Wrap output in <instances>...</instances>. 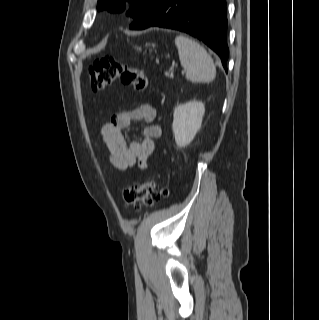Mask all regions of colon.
<instances>
[{
	"label": "colon",
	"mask_w": 319,
	"mask_h": 320,
	"mask_svg": "<svg viewBox=\"0 0 319 320\" xmlns=\"http://www.w3.org/2000/svg\"><path fill=\"white\" fill-rule=\"evenodd\" d=\"M90 83L93 90L110 86L117 79L130 85L137 91L147 87V78L138 68L122 63L113 55H105L94 61L89 67ZM168 196V189L158 179H149L127 186L122 191L127 206H152Z\"/></svg>",
	"instance_id": "obj_1"
}]
</instances>
